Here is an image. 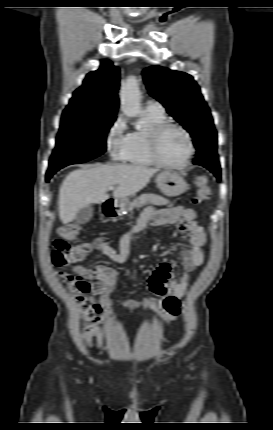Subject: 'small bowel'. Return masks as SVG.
<instances>
[{
  "instance_id": "obj_1",
  "label": "small bowel",
  "mask_w": 273,
  "mask_h": 430,
  "mask_svg": "<svg viewBox=\"0 0 273 430\" xmlns=\"http://www.w3.org/2000/svg\"><path fill=\"white\" fill-rule=\"evenodd\" d=\"M180 224V230L189 233V247L182 251L183 273L177 280L172 279L176 264L165 262L160 264L147 282L149 296L138 300H129L126 305L130 310L151 309L156 312L169 326L178 318V302L189 286V275L197 267L204 263L203 247L206 243V234L201 225L196 221L194 210L184 206L158 209L148 207L140 216L136 225L124 234L116 251L109 240L99 237L94 242V247L102 254L116 263H123L130 252V243L134 234L144 229L147 225L160 226L163 224ZM76 274L85 278V285L93 294L100 296L99 303L104 313L97 317L84 338L90 348H95L101 353L105 351V337L100 324L106 323L111 314L112 298L115 297V289L118 284L119 271L114 267L98 264L93 268L77 265L73 268Z\"/></svg>"
}]
</instances>
